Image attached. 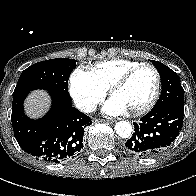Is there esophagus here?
Instances as JSON below:
<instances>
[{
	"instance_id": "obj_1",
	"label": "esophagus",
	"mask_w": 196,
	"mask_h": 196,
	"mask_svg": "<svg viewBox=\"0 0 196 196\" xmlns=\"http://www.w3.org/2000/svg\"><path fill=\"white\" fill-rule=\"evenodd\" d=\"M101 122L111 123V120H101Z\"/></svg>"
}]
</instances>
